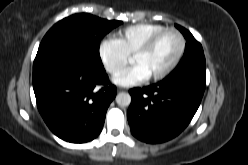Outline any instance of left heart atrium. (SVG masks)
I'll return each mask as SVG.
<instances>
[{
    "mask_svg": "<svg viewBox=\"0 0 248 165\" xmlns=\"http://www.w3.org/2000/svg\"><path fill=\"white\" fill-rule=\"evenodd\" d=\"M149 78L150 76L143 66L140 64H134L118 73L113 78V81L115 84L120 86H131L144 82Z\"/></svg>",
    "mask_w": 248,
    "mask_h": 165,
    "instance_id": "1",
    "label": "left heart atrium"
}]
</instances>
